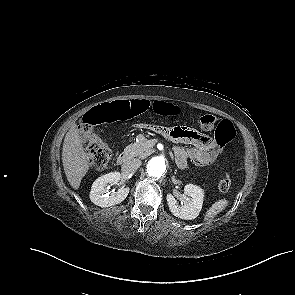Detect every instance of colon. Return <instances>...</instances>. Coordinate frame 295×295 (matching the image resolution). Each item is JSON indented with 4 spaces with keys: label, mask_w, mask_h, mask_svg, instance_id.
I'll use <instances>...</instances> for the list:
<instances>
[{
    "label": "colon",
    "mask_w": 295,
    "mask_h": 295,
    "mask_svg": "<svg viewBox=\"0 0 295 295\" xmlns=\"http://www.w3.org/2000/svg\"><path fill=\"white\" fill-rule=\"evenodd\" d=\"M150 103L146 100L132 101H115L95 107L88 111L79 123L80 133L87 139V153L90 165L96 171H102L106 168L111 158V150L97 136L94 135L93 129L100 124H111L118 121H125L147 111ZM155 113L162 116H173L179 113V109L173 104L156 101L152 105ZM199 126L205 131L214 132L215 138L212 140L214 145L213 152L215 159L210 164L197 165L191 151L187 148L188 155L192 166L197 170L209 169L213 167L224 155V149L228 142L236 136L234 125L227 120L218 121L212 115H203L198 119ZM221 143L217 149V143ZM231 186V179L226 175L219 183L218 190L226 192Z\"/></svg>",
    "instance_id": "obj_1"
}]
</instances>
